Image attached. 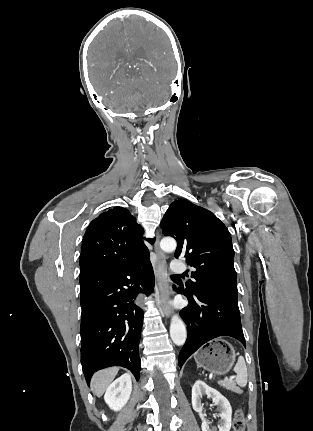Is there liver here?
<instances>
[{
  "instance_id": "obj_1",
  "label": "liver",
  "mask_w": 313,
  "mask_h": 431,
  "mask_svg": "<svg viewBox=\"0 0 313 431\" xmlns=\"http://www.w3.org/2000/svg\"><path fill=\"white\" fill-rule=\"evenodd\" d=\"M119 368L112 367L97 372L92 378L93 393L101 397L113 379L116 377Z\"/></svg>"
}]
</instances>
